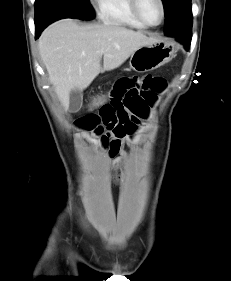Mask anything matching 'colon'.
<instances>
[{"label":"colon","mask_w":231,"mask_h":281,"mask_svg":"<svg viewBox=\"0 0 231 281\" xmlns=\"http://www.w3.org/2000/svg\"><path fill=\"white\" fill-rule=\"evenodd\" d=\"M108 100H109V92L94 97L90 102V106L93 108L100 107L103 104L107 103ZM115 179L118 181L120 179V176L118 174H115Z\"/></svg>","instance_id":"5ec220e1"}]
</instances>
